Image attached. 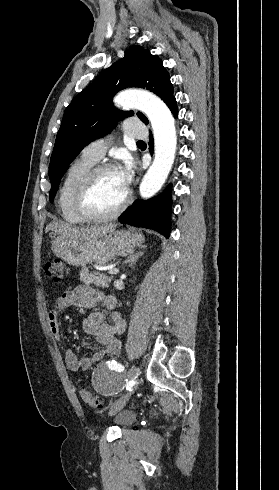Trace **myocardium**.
Masks as SVG:
<instances>
[{
	"label": "myocardium",
	"mask_w": 279,
	"mask_h": 490,
	"mask_svg": "<svg viewBox=\"0 0 279 490\" xmlns=\"http://www.w3.org/2000/svg\"><path fill=\"white\" fill-rule=\"evenodd\" d=\"M116 170L111 164H99L89 169L83 176L76 195V208L79 214L88 221H110L119 217L128 207L131 201L130 193H126L125 199L113 211L100 213L95 211L91 205V196L94 191L96 181L100 174Z\"/></svg>",
	"instance_id": "obj_1"
}]
</instances>
